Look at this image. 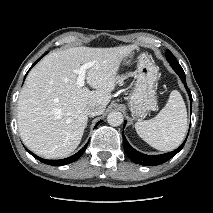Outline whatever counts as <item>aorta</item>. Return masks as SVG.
I'll return each instance as SVG.
<instances>
[{
    "label": "aorta",
    "mask_w": 213,
    "mask_h": 213,
    "mask_svg": "<svg viewBox=\"0 0 213 213\" xmlns=\"http://www.w3.org/2000/svg\"><path fill=\"white\" fill-rule=\"evenodd\" d=\"M107 121L109 125L116 127L120 126L123 123L124 117L121 112L112 111L108 114Z\"/></svg>",
    "instance_id": "762f6f07"
}]
</instances>
